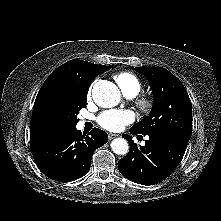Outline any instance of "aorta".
Listing matches in <instances>:
<instances>
[{
	"mask_svg": "<svg viewBox=\"0 0 221 221\" xmlns=\"http://www.w3.org/2000/svg\"><path fill=\"white\" fill-rule=\"evenodd\" d=\"M92 97L98 106L111 108L119 103L120 91L112 82L99 81L93 86ZM111 149L115 154L125 155L129 151V144L123 138H116L111 142Z\"/></svg>",
	"mask_w": 221,
	"mask_h": 221,
	"instance_id": "aorta-1",
	"label": "aorta"
}]
</instances>
